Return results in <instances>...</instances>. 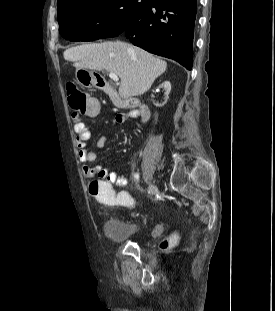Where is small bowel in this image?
<instances>
[{
    "mask_svg": "<svg viewBox=\"0 0 275 311\" xmlns=\"http://www.w3.org/2000/svg\"><path fill=\"white\" fill-rule=\"evenodd\" d=\"M97 114V113H96ZM140 116L138 110H132L127 113L118 114L115 118V123H122L130 118ZM73 129L76 134V143L78 147V158L82 164V173L88 180L107 178L108 183H115L118 187H123L127 184V178L124 175H118L115 171H110L103 165H91L97 159V151L87 146L90 133L85 123L77 114H73ZM106 136H100L95 142L96 149L104 148L106 144ZM91 192V191H90Z\"/></svg>",
    "mask_w": 275,
    "mask_h": 311,
    "instance_id": "1",
    "label": "small bowel"
}]
</instances>
